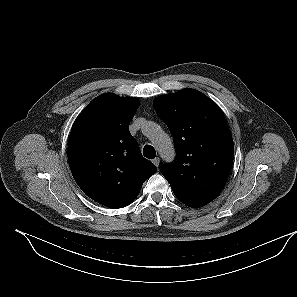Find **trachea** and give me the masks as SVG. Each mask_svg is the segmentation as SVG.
<instances>
[{
  "label": "trachea",
  "instance_id": "obj_1",
  "mask_svg": "<svg viewBox=\"0 0 297 297\" xmlns=\"http://www.w3.org/2000/svg\"><path fill=\"white\" fill-rule=\"evenodd\" d=\"M143 155L148 159H153L156 156V151L153 146L145 145L143 148Z\"/></svg>",
  "mask_w": 297,
  "mask_h": 297
}]
</instances>
